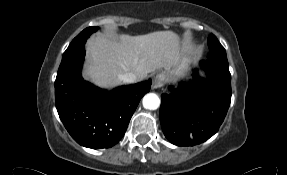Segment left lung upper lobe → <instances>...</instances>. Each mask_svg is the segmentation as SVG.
Segmentation results:
<instances>
[{
	"label": "left lung upper lobe",
	"mask_w": 287,
	"mask_h": 175,
	"mask_svg": "<svg viewBox=\"0 0 287 175\" xmlns=\"http://www.w3.org/2000/svg\"><path fill=\"white\" fill-rule=\"evenodd\" d=\"M208 47L210 49L207 55L208 59L218 60L228 64L226 51L213 34L208 37Z\"/></svg>",
	"instance_id": "1"
}]
</instances>
